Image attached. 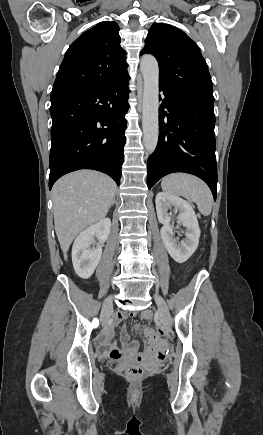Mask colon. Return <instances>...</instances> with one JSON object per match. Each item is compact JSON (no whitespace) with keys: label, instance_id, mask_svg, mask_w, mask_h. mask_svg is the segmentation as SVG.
<instances>
[{"label":"colon","instance_id":"1","mask_svg":"<svg viewBox=\"0 0 263 435\" xmlns=\"http://www.w3.org/2000/svg\"><path fill=\"white\" fill-rule=\"evenodd\" d=\"M155 328L157 329L158 333L161 336L165 335V330L163 329V327H161L160 324H156ZM161 343H162V341H161ZM162 349H163V344H162ZM144 372H145V370L141 365L134 364V365H130L129 367H127V369L125 370V375L127 378H129L131 380H138L144 375Z\"/></svg>","mask_w":263,"mask_h":435}]
</instances>
